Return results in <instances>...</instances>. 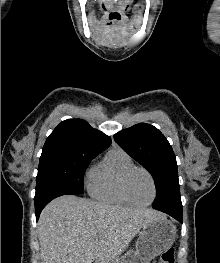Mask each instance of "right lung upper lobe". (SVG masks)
Wrapping results in <instances>:
<instances>
[{
	"label": "right lung upper lobe",
	"instance_id": "1",
	"mask_svg": "<svg viewBox=\"0 0 220 263\" xmlns=\"http://www.w3.org/2000/svg\"><path fill=\"white\" fill-rule=\"evenodd\" d=\"M111 144V138L93 129L81 119L62 121L47 138L43 151L73 150L101 153Z\"/></svg>",
	"mask_w": 220,
	"mask_h": 263
}]
</instances>
